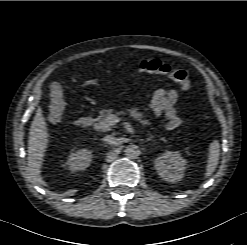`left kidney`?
Returning a JSON list of instances; mask_svg holds the SVG:
<instances>
[{"label": "left kidney", "instance_id": "obj_1", "mask_svg": "<svg viewBox=\"0 0 247 245\" xmlns=\"http://www.w3.org/2000/svg\"><path fill=\"white\" fill-rule=\"evenodd\" d=\"M187 161L179 152L167 151L154 162L158 175L165 181L176 183L184 176Z\"/></svg>", "mask_w": 247, "mask_h": 245}]
</instances>
